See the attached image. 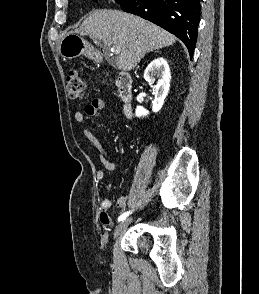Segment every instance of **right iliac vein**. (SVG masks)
I'll use <instances>...</instances> for the list:
<instances>
[{
	"label": "right iliac vein",
	"mask_w": 259,
	"mask_h": 294,
	"mask_svg": "<svg viewBox=\"0 0 259 294\" xmlns=\"http://www.w3.org/2000/svg\"><path fill=\"white\" fill-rule=\"evenodd\" d=\"M132 222V218H126L121 223H119L114 232V238H116L120 233H122Z\"/></svg>",
	"instance_id": "right-iliac-vein-1"
}]
</instances>
